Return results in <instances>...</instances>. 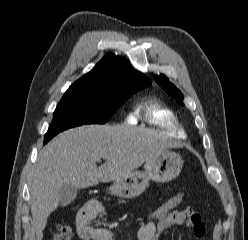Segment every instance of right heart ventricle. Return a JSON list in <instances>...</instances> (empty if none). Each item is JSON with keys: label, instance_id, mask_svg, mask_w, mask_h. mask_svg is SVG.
Listing matches in <instances>:
<instances>
[{"label": "right heart ventricle", "instance_id": "1", "mask_svg": "<svg viewBox=\"0 0 248 240\" xmlns=\"http://www.w3.org/2000/svg\"><path fill=\"white\" fill-rule=\"evenodd\" d=\"M135 110L145 112V119L149 124L163 128L174 137H185L186 134L171 109L156 102H149L139 104Z\"/></svg>", "mask_w": 248, "mask_h": 240}]
</instances>
